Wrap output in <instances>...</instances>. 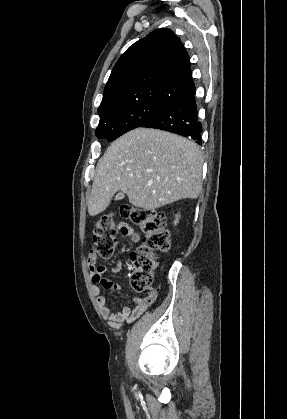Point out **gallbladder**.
I'll return each instance as SVG.
<instances>
[{
	"label": "gallbladder",
	"mask_w": 287,
	"mask_h": 419,
	"mask_svg": "<svg viewBox=\"0 0 287 419\" xmlns=\"http://www.w3.org/2000/svg\"><path fill=\"white\" fill-rule=\"evenodd\" d=\"M125 197V194L123 192H119L116 196H115V200H122Z\"/></svg>",
	"instance_id": "obj_1"
}]
</instances>
